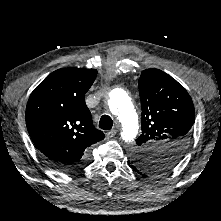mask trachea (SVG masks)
<instances>
[{"label":"trachea","instance_id":"3493384b","mask_svg":"<svg viewBox=\"0 0 221 221\" xmlns=\"http://www.w3.org/2000/svg\"><path fill=\"white\" fill-rule=\"evenodd\" d=\"M113 126V120L108 115H103L99 121V127L103 130H110Z\"/></svg>","mask_w":221,"mask_h":221}]
</instances>
